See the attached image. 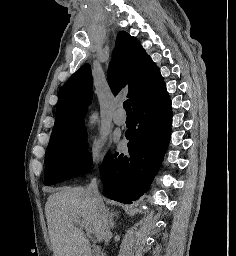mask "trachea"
<instances>
[{
    "label": "trachea",
    "instance_id": "3493384b",
    "mask_svg": "<svg viewBox=\"0 0 236 256\" xmlns=\"http://www.w3.org/2000/svg\"><path fill=\"white\" fill-rule=\"evenodd\" d=\"M123 107L126 110V113H132V108L129 100L124 101Z\"/></svg>",
    "mask_w": 236,
    "mask_h": 256
}]
</instances>
